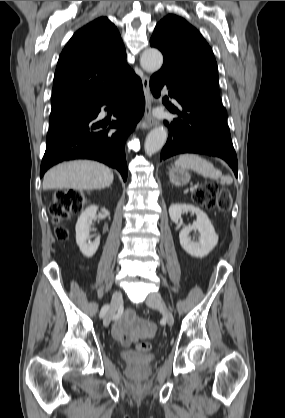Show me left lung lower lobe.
<instances>
[{
  "label": "left lung lower lobe",
  "mask_w": 285,
  "mask_h": 418,
  "mask_svg": "<svg viewBox=\"0 0 285 418\" xmlns=\"http://www.w3.org/2000/svg\"><path fill=\"white\" fill-rule=\"evenodd\" d=\"M163 86L170 89L169 96L175 98L182 110L170 109L179 118L164 121L169 137L163 147L160 160L182 153H199L224 159L237 176V156L227 125V112L222 103L193 93L178 85L164 73H155L150 79V88L159 97ZM168 100L167 97L164 98Z\"/></svg>",
  "instance_id": "obj_1"
}]
</instances>
